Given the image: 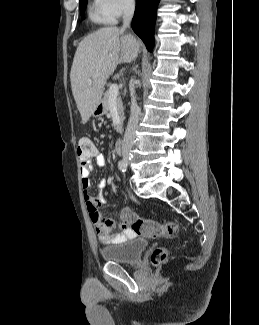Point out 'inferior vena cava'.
<instances>
[{
    "label": "inferior vena cava",
    "mask_w": 259,
    "mask_h": 325,
    "mask_svg": "<svg viewBox=\"0 0 259 325\" xmlns=\"http://www.w3.org/2000/svg\"><path fill=\"white\" fill-rule=\"evenodd\" d=\"M135 9L134 0H126L124 6V14H123V27L122 29H126L132 20ZM140 109L136 103L135 91L132 89L131 91V112L130 118L128 121L127 129L124 134L123 139V150L130 149L134 145L135 137H136V129L139 121Z\"/></svg>",
    "instance_id": "inferior-vena-cava-1"
}]
</instances>
